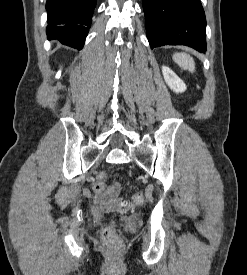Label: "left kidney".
I'll use <instances>...</instances> for the list:
<instances>
[{"label":"left kidney","instance_id":"1","mask_svg":"<svg viewBox=\"0 0 247 275\" xmlns=\"http://www.w3.org/2000/svg\"><path fill=\"white\" fill-rule=\"evenodd\" d=\"M162 74L171 90L176 93H182L186 90L185 83L169 67L163 66Z\"/></svg>","mask_w":247,"mask_h":275}]
</instances>
